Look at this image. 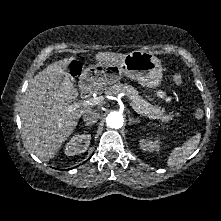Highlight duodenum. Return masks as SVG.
Masks as SVG:
<instances>
[{
	"mask_svg": "<svg viewBox=\"0 0 221 221\" xmlns=\"http://www.w3.org/2000/svg\"><path fill=\"white\" fill-rule=\"evenodd\" d=\"M92 93H93V88L90 86V84L87 81H83L81 87L82 97L88 99L91 97Z\"/></svg>",
	"mask_w": 221,
	"mask_h": 221,
	"instance_id": "obj_1",
	"label": "duodenum"
}]
</instances>
